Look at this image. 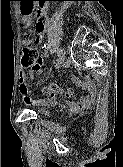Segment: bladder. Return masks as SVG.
Here are the masks:
<instances>
[{
	"label": "bladder",
	"mask_w": 123,
	"mask_h": 167,
	"mask_svg": "<svg viewBox=\"0 0 123 167\" xmlns=\"http://www.w3.org/2000/svg\"><path fill=\"white\" fill-rule=\"evenodd\" d=\"M36 110L41 114H46L47 110L44 107H37Z\"/></svg>",
	"instance_id": "31cf9c89"
}]
</instances>
